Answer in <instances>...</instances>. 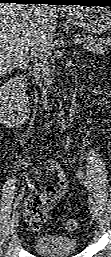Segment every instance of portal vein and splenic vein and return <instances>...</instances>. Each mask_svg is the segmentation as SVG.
Segmentation results:
<instances>
[{"mask_svg": "<svg viewBox=\"0 0 111 257\" xmlns=\"http://www.w3.org/2000/svg\"><path fill=\"white\" fill-rule=\"evenodd\" d=\"M77 42H79V43H80V42H81V39H78V40H77Z\"/></svg>", "mask_w": 111, "mask_h": 257, "instance_id": "obj_1", "label": "portal vein and splenic vein"}]
</instances>
